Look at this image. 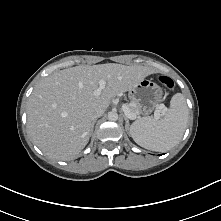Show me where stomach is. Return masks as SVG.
I'll return each mask as SVG.
<instances>
[{
  "label": "stomach",
  "mask_w": 221,
  "mask_h": 221,
  "mask_svg": "<svg viewBox=\"0 0 221 221\" xmlns=\"http://www.w3.org/2000/svg\"><path fill=\"white\" fill-rule=\"evenodd\" d=\"M130 98L137 104L140 113L145 115L151 113L164 99L162 88L148 79H143L130 90Z\"/></svg>",
  "instance_id": "1"
}]
</instances>
